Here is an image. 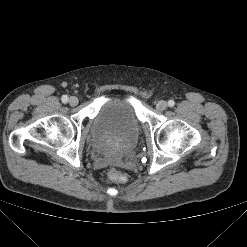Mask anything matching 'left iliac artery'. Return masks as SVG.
<instances>
[{"mask_svg": "<svg viewBox=\"0 0 247 247\" xmlns=\"http://www.w3.org/2000/svg\"><path fill=\"white\" fill-rule=\"evenodd\" d=\"M174 105H175L174 100H169V101H168V106H169V107H173Z\"/></svg>", "mask_w": 247, "mask_h": 247, "instance_id": "left-iliac-artery-1", "label": "left iliac artery"}]
</instances>
